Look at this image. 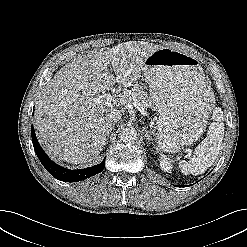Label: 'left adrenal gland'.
Returning a JSON list of instances; mask_svg holds the SVG:
<instances>
[{"instance_id": "left-adrenal-gland-1", "label": "left adrenal gland", "mask_w": 247, "mask_h": 247, "mask_svg": "<svg viewBox=\"0 0 247 247\" xmlns=\"http://www.w3.org/2000/svg\"><path fill=\"white\" fill-rule=\"evenodd\" d=\"M144 136L146 137V140L148 141V143H150L151 136L147 130H144Z\"/></svg>"}]
</instances>
